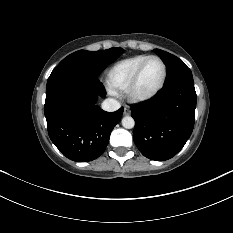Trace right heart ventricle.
I'll return each mask as SVG.
<instances>
[{
	"label": "right heart ventricle",
	"instance_id": "e07e8e85",
	"mask_svg": "<svg viewBox=\"0 0 233 233\" xmlns=\"http://www.w3.org/2000/svg\"><path fill=\"white\" fill-rule=\"evenodd\" d=\"M148 55H136L115 63L107 73V85L113 92H124L135 71Z\"/></svg>",
	"mask_w": 233,
	"mask_h": 233
}]
</instances>
